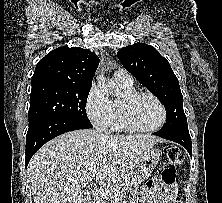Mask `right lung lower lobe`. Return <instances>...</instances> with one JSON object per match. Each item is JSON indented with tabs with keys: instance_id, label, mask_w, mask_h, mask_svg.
I'll use <instances>...</instances> for the list:
<instances>
[{
	"instance_id": "right-lung-lower-lobe-1",
	"label": "right lung lower lobe",
	"mask_w": 222,
	"mask_h": 203,
	"mask_svg": "<svg viewBox=\"0 0 222 203\" xmlns=\"http://www.w3.org/2000/svg\"><path fill=\"white\" fill-rule=\"evenodd\" d=\"M91 127L90 121L65 117H42L30 121L26 135V167L34 153L49 140L65 132Z\"/></svg>"
}]
</instances>
